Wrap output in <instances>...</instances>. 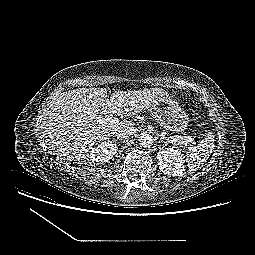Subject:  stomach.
<instances>
[{"mask_svg": "<svg viewBox=\"0 0 255 255\" xmlns=\"http://www.w3.org/2000/svg\"><path fill=\"white\" fill-rule=\"evenodd\" d=\"M152 107L156 120L166 130L179 133L188 127V115L168 94L159 97Z\"/></svg>", "mask_w": 255, "mask_h": 255, "instance_id": "1", "label": "stomach"}]
</instances>
